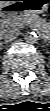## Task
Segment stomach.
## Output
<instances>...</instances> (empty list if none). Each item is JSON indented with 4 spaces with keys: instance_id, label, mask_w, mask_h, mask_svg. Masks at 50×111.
I'll list each match as a JSON object with an SVG mask.
<instances>
[{
    "instance_id": "obj_1",
    "label": "stomach",
    "mask_w": 50,
    "mask_h": 111,
    "mask_svg": "<svg viewBox=\"0 0 50 111\" xmlns=\"http://www.w3.org/2000/svg\"><path fill=\"white\" fill-rule=\"evenodd\" d=\"M24 9L29 13H43L49 6V0H25Z\"/></svg>"
}]
</instances>
